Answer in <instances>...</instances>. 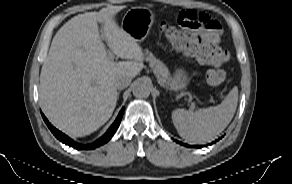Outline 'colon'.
Returning <instances> with one entry per match:
<instances>
[{"label":"colon","mask_w":292,"mask_h":184,"mask_svg":"<svg viewBox=\"0 0 292 184\" xmlns=\"http://www.w3.org/2000/svg\"><path fill=\"white\" fill-rule=\"evenodd\" d=\"M178 23L191 32H197L202 28L218 29L219 22L208 14L197 10H182L177 14ZM164 30L171 44L176 49L187 55L197 58L203 64L214 66L206 74L209 85L219 86L225 80V72L219 67L229 58V54L221 47L197 37L188 36L175 28L164 26Z\"/></svg>","instance_id":"colon-1"}]
</instances>
